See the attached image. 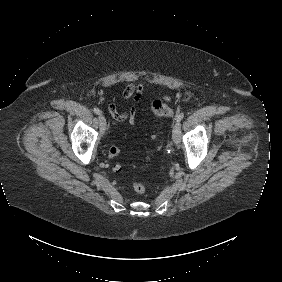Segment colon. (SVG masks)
<instances>
[{"label":"colon","instance_id":"obj_1","mask_svg":"<svg viewBox=\"0 0 282 282\" xmlns=\"http://www.w3.org/2000/svg\"><path fill=\"white\" fill-rule=\"evenodd\" d=\"M154 111L158 115H163L167 118H172L176 114V109L172 105H167L163 102H158L154 106ZM120 155V149L118 147H111L109 149V156L112 159L117 158ZM115 171L117 173H120L122 171L121 165H115ZM133 189L134 191L139 194L143 195L146 192V186L142 182H135L133 183Z\"/></svg>","mask_w":282,"mask_h":282}]
</instances>
